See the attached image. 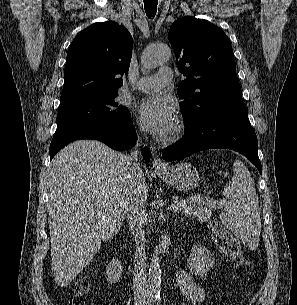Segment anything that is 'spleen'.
Masks as SVG:
<instances>
[{
  "instance_id": "obj_1",
  "label": "spleen",
  "mask_w": 297,
  "mask_h": 305,
  "mask_svg": "<svg viewBox=\"0 0 297 305\" xmlns=\"http://www.w3.org/2000/svg\"><path fill=\"white\" fill-rule=\"evenodd\" d=\"M223 195L228 202L220 213L221 221L247 248H257L261 231L259 201L250 172L242 161H234L233 177Z\"/></svg>"
}]
</instances>
